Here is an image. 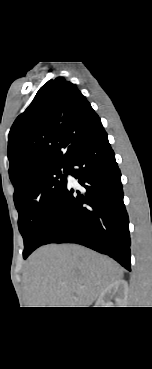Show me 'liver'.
<instances>
[{
  "mask_svg": "<svg viewBox=\"0 0 152 369\" xmlns=\"http://www.w3.org/2000/svg\"><path fill=\"white\" fill-rule=\"evenodd\" d=\"M123 270L110 258L78 245H47L23 273L28 307H90Z\"/></svg>",
  "mask_w": 152,
  "mask_h": 369,
  "instance_id": "1",
  "label": "liver"
}]
</instances>
